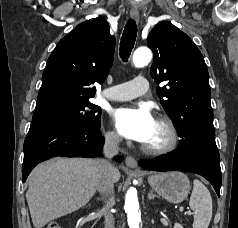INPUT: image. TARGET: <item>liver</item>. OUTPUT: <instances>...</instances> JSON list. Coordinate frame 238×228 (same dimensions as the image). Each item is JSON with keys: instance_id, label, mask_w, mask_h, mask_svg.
I'll return each instance as SVG.
<instances>
[{"instance_id": "obj_1", "label": "liver", "mask_w": 238, "mask_h": 228, "mask_svg": "<svg viewBox=\"0 0 238 228\" xmlns=\"http://www.w3.org/2000/svg\"><path fill=\"white\" fill-rule=\"evenodd\" d=\"M99 161L86 158H55L36 166L28 177L26 199L33 226L50 221L85 206L96 192ZM114 182L120 172L113 171Z\"/></svg>"}]
</instances>
